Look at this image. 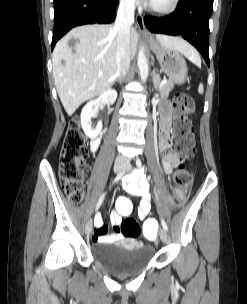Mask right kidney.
<instances>
[{
    "instance_id": "obj_1",
    "label": "right kidney",
    "mask_w": 247,
    "mask_h": 304,
    "mask_svg": "<svg viewBox=\"0 0 247 304\" xmlns=\"http://www.w3.org/2000/svg\"><path fill=\"white\" fill-rule=\"evenodd\" d=\"M117 98V92L115 89H108L98 98L88 102L82 109L81 112V126L87 137L95 139L102 130V122L99 121L95 128L91 127V118L97 115V111L102 103L108 106L114 104Z\"/></svg>"
}]
</instances>
